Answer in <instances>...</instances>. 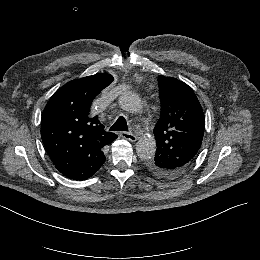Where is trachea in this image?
<instances>
[{"label":"trachea","mask_w":260,"mask_h":260,"mask_svg":"<svg viewBox=\"0 0 260 260\" xmlns=\"http://www.w3.org/2000/svg\"><path fill=\"white\" fill-rule=\"evenodd\" d=\"M110 131H128L126 119L123 116H120L111 126Z\"/></svg>","instance_id":"obj_1"}]
</instances>
